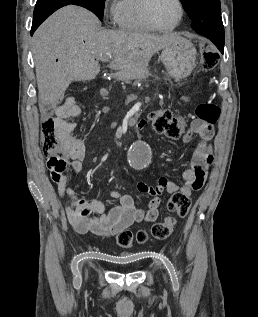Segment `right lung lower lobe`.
<instances>
[{"mask_svg":"<svg viewBox=\"0 0 258 317\" xmlns=\"http://www.w3.org/2000/svg\"><path fill=\"white\" fill-rule=\"evenodd\" d=\"M89 3V0H37L34 9L31 35H33L38 26L57 9L73 4L82 6L91 11Z\"/></svg>","mask_w":258,"mask_h":317,"instance_id":"1","label":"right lung lower lobe"}]
</instances>
